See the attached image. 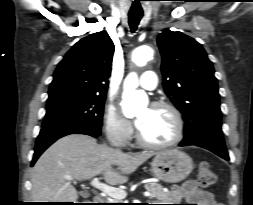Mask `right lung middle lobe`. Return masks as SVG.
<instances>
[{"instance_id": "right-lung-middle-lobe-1", "label": "right lung middle lobe", "mask_w": 253, "mask_h": 205, "mask_svg": "<svg viewBox=\"0 0 253 205\" xmlns=\"http://www.w3.org/2000/svg\"><path fill=\"white\" fill-rule=\"evenodd\" d=\"M105 96L74 95L47 101L43 127L101 128Z\"/></svg>"}]
</instances>
